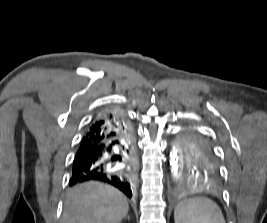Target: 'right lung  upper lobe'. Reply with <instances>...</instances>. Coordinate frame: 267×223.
Wrapping results in <instances>:
<instances>
[{"mask_svg":"<svg viewBox=\"0 0 267 223\" xmlns=\"http://www.w3.org/2000/svg\"><path fill=\"white\" fill-rule=\"evenodd\" d=\"M128 125V118L122 111H103L91 121L80 146L87 147L116 138L124 131L123 126Z\"/></svg>","mask_w":267,"mask_h":223,"instance_id":"1","label":"right lung upper lobe"}]
</instances>
